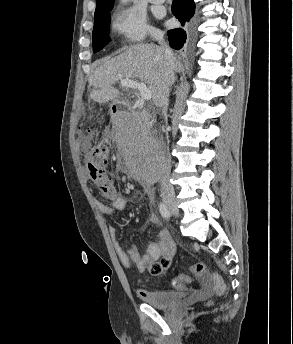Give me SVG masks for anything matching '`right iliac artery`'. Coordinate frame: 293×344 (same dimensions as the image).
<instances>
[{
    "mask_svg": "<svg viewBox=\"0 0 293 344\" xmlns=\"http://www.w3.org/2000/svg\"><path fill=\"white\" fill-rule=\"evenodd\" d=\"M159 211L164 218L169 219L171 217V212L164 203H160Z\"/></svg>",
    "mask_w": 293,
    "mask_h": 344,
    "instance_id": "1",
    "label": "right iliac artery"
}]
</instances>
